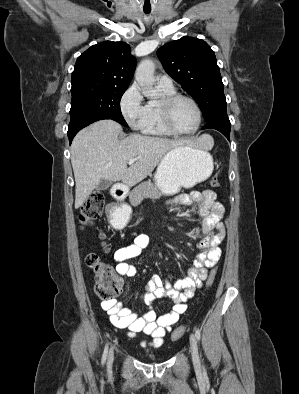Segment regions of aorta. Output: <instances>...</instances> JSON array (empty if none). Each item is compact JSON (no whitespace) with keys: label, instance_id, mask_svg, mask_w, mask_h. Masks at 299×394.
<instances>
[{"label":"aorta","instance_id":"762f6f07","mask_svg":"<svg viewBox=\"0 0 299 394\" xmlns=\"http://www.w3.org/2000/svg\"><path fill=\"white\" fill-rule=\"evenodd\" d=\"M154 72L155 65L149 59L141 61L135 72V79L141 87L143 95L150 99L158 96V93L153 87L155 83Z\"/></svg>","mask_w":299,"mask_h":394}]
</instances>
